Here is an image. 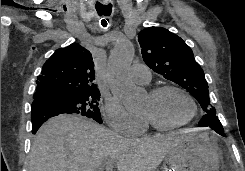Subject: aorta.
Masks as SVG:
<instances>
[{
	"label": "aorta",
	"instance_id": "1",
	"mask_svg": "<svg viewBox=\"0 0 245 171\" xmlns=\"http://www.w3.org/2000/svg\"><path fill=\"white\" fill-rule=\"evenodd\" d=\"M134 58L131 41L121 39L111 50L107 61V75L111 91L128 111H141L145 93L128 78V71Z\"/></svg>",
	"mask_w": 245,
	"mask_h": 171
}]
</instances>
